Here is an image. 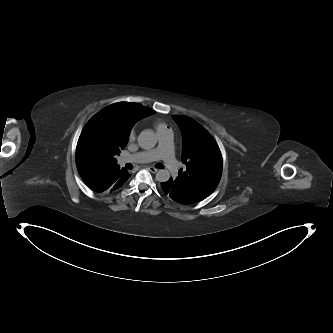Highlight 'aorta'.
Here are the masks:
<instances>
[{
    "mask_svg": "<svg viewBox=\"0 0 333 333\" xmlns=\"http://www.w3.org/2000/svg\"><path fill=\"white\" fill-rule=\"evenodd\" d=\"M138 144L143 149H152L157 144V137L152 130H144L138 136ZM169 179L170 173L166 169H161L156 173V180L159 182H165Z\"/></svg>",
    "mask_w": 333,
    "mask_h": 333,
    "instance_id": "obj_1",
    "label": "aorta"
}]
</instances>
